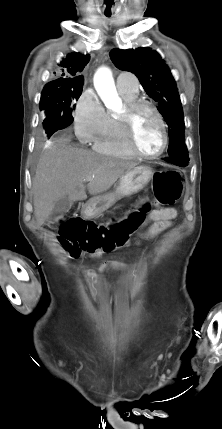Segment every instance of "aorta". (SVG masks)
I'll list each match as a JSON object with an SVG mask.
<instances>
[{
	"label": "aorta",
	"mask_w": 222,
	"mask_h": 429,
	"mask_svg": "<svg viewBox=\"0 0 222 429\" xmlns=\"http://www.w3.org/2000/svg\"><path fill=\"white\" fill-rule=\"evenodd\" d=\"M94 86L107 108L117 110L121 106V100L117 94L112 72L109 68L102 67L96 72Z\"/></svg>",
	"instance_id": "obj_1"
}]
</instances>
